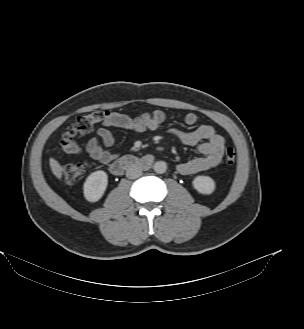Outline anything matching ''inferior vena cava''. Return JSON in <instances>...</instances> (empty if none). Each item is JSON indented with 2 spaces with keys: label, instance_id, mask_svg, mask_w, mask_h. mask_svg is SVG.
I'll list each match as a JSON object with an SVG mask.
<instances>
[{
  "label": "inferior vena cava",
  "instance_id": "obj_1",
  "mask_svg": "<svg viewBox=\"0 0 304 329\" xmlns=\"http://www.w3.org/2000/svg\"><path fill=\"white\" fill-rule=\"evenodd\" d=\"M142 175V169L139 166L132 165L126 170V177L136 179Z\"/></svg>",
  "mask_w": 304,
  "mask_h": 329
}]
</instances>
